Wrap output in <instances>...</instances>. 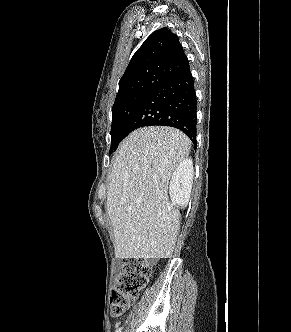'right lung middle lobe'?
Listing matches in <instances>:
<instances>
[{"mask_svg": "<svg viewBox=\"0 0 291 332\" xmlns=\"http://www.w3.org/2000/svg\"><path fill=\"white\" fill-rule=\"evenodd\" d=\"M157 85H153L149 89L138 91L115 100V103L112 107L110 153L116 150L119 143L125 138V127L127 122L134 115L139 105L146 99V97Z\"/></svg>", "mask_w": 291, "mask_h": 332, "instance_id": "right-lung-middle-lobe-1", "label": "right lung middle lobe"}]
</instances>
